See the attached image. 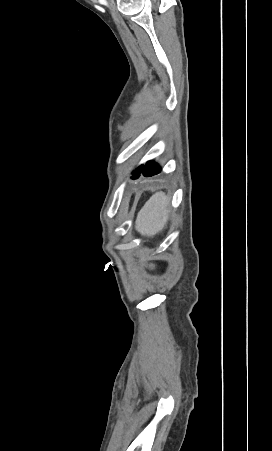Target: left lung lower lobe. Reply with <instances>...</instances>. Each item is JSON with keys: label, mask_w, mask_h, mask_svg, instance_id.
Listing matches in <instances>:
<instances>
[{"label": "left lung lower lobe", "mask_w": 272, "mask_h": 451, "mask_svg": "<svg viewBox=\"0 0 272 451\" xmlns=\"http://www.w3.org/2000/svg\"><path fill=\"white\" fill-rule=\"evenodd\" d=\"M161 171L160 166L153 162V161H148L145 165H143L142 171L140 174H143L144 176L148 177V176H153L158 174ZM139 178V176L133 178V179H137Z\"/></svg>", "instance_id": "0a47b994"}]
</instances>
